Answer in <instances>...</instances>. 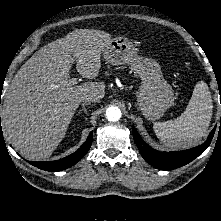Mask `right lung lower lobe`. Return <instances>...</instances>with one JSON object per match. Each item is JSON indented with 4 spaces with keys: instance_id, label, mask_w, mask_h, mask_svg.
Wrapping results in <instances>:
<instances>
[{
    "instance_id": "right-lung-lower-lobe-1",
    "label": "right lung lower lobe",
    "mask_w": 221,
    "mask_h": 221,
    "mask_svg": "<svg viewBox=\"0 0 221 221\" xmlns=\"http://www.w3.org/2000/svg\"><path fill=\"white\" fill-rule=\"evenodd\" d=\"M0 125H1V119H0ZM92 138H93V133L91 132L87 137L86 141L84 142V144L79 149H77L74 153L62 159L55 161H39V162L31 161L30 164L49 172L61 171L70 168L73 165H75L77 162H79L87 153V151L91 146Z\"/></svg>"
}]
</instances>
